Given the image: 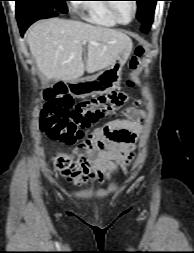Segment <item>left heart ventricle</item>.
I'll list each match as a JSON object with an SVG mask.
<instances>
[{
  "label": "left heart ventricle",
  "mask_w": 194,
  "mask_h": 253,
  "mask_svg": "<svg viewBox=\"0 0 194 253\" xmlns=\"http://www.w3.org/2000/svg\"><path fill=\"white\" fill-rule=\"evenodd\" d=\"M115 8L119 17L123 21H128L132 17L134 12V3L133 1H117L114 3Z\"/></svg>",
  "instance_id": "1"
}]
</instances>
